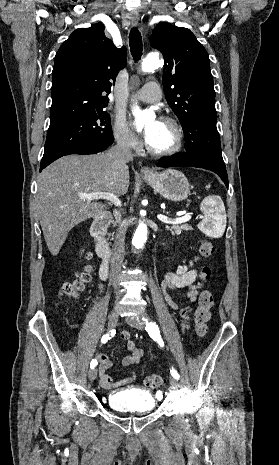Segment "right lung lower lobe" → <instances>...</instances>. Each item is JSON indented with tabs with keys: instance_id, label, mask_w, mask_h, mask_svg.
<instances>
[{
	"instance_id": "1",
	"label": "right lung lower lobe",
	"mask_w": 279,
	"mask_h": 465,
	"mask_svg": "<svg viewBox=\"0 0 279 465\" xmlns=\"http://www.w3.org/2000/svg\"><path fill=\"white\" fill-rule=\"evenodd\" d=\"M112 144V143H111ZM111 144H103V145H84V146H80V147H77V148H74V149H71V150H68L66 151L65 153L61 154L60 156L54 158L53 160L45 163V164H42L40 165V171L42 169H44L46 166H48L50 163H52L53 161H55L56 159L62 157V156H65V155H70V154H95V153H98V152H101V151H104L105 149H107Z\"/></svg>"
}]
</instances>
